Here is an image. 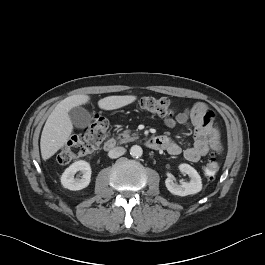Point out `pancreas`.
Here are the masks:
<instances>
[{
  "label": "pancreas",
  "mask_w": 265,
  "mask_h": 265,
  "mask_svg": "<svg viewBox=\"0 0 265 265\" xmlns=\"http://www.w3.org/2000/svg\"><path fill=\"white\" fill-rule=\"evenodd\" d=\"M118 139H120L121 143H127V142H131V141L138 139V136L135 133L130 135V131L126 130L123 133L118 135Z\"/></svg>",
  "instance_id": "cf45deb5"
}]
</instances>
